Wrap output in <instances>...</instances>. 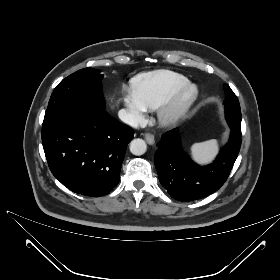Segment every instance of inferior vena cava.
<instances>
[{"instance_id": "602c4592", "label": "inferior vena cava", "mask_w": 280, "mask_h": 280, "mask_svg": "<svg viewBox=\"0 0 280 280\" xmlns=\"http://www.w3.org/2000/svg\"><path fill=\"white\" fill-rule=\"evenodd\" d=\"M118 116L121 121L130 125L133 128H137L139 126L137 119L127 110L121 109L118 112Z\"/></svg>"}]
</instances>
